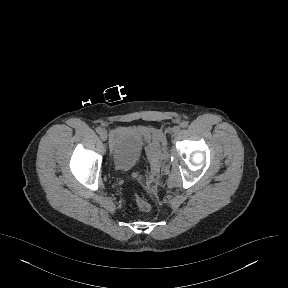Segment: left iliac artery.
<instances>
[{"label":"left iliac artery","instance_id":"1","mask_svg":"<svg viewBox=\"0 0 288 288\" xmlns=\"http://www.w3.org/2000/svg\"><path fill=\"white\" fill-rule=\"evenodd\" d=\"M180 126H181L182 128H186V127L188 126V121H182V122L180 123Z\"/></svg>","mask_w":288,"mask_h":288}]
</instances>
